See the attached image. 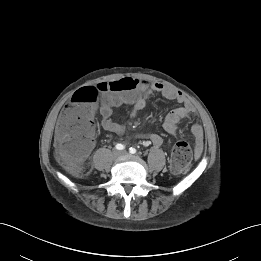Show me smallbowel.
<instances>
[{"instance_id": "1", "label": "small bowel", "mask_w": 261, "mask_h": 261, "mask_svg": "<svg viewBox=\"0 0 261 261\" xmlns=\"http://www.w3.org/2000/svg\"><path fill=\"white\" fill-rule=\"evenodd\" d=\"M155 92L160 93L167 99L175 100L181 104L180 107L170 111L166 115L163 122L164 129L168 133L175 135L177 133L178 123L185 118L193 116L195 111L191 103L186 99L182 92L160 83H148L147 85H140L131 95L120 94L116 97H110L109 99L105 100L100 107V114L102 117L101 125L103 129L110 133L122 134L124 132V126L113 120V108L122 105H130V117L135 118L138 113L146 106L148 100ZM73 109L74 105L70 100V102L65 105L57 126L56 141L58 144H61L62 141L66 138V135L61 130L62 120L64 116ZM87 127L91 144L86 156L90 154L94 146L92 137L95 133L96 125L93 114L88 121ZM191 134L195 144V155L198 158L201 156L203 150L204 133L202 126L198 123H194L191 127ZM147 139L154 145H160L162 143V138L158 134H150L147 136Z\"/></svg>"}]
</instances>
